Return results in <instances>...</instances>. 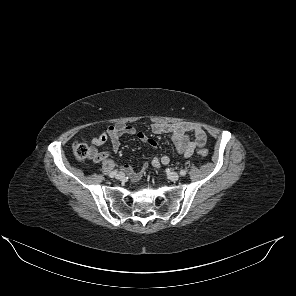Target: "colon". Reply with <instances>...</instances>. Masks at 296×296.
<instances>
[{"label":"colon","instance_id":"obj_1","mask_svg":"<svg viewBox=\"0 0 296 296\" xmlns=\"http://www.w3.org/2000/svg\"><path fill=\"white\" fill-rule=\"evenodd\" d=\"M73 154L78 160H87L93 158L95 155V151H93L87 144L82 142H76L72 146ZM198 154L201 157L208 156L209 152L205 148H201L198 150Z\"/></svg>","mask_w":296,"mask_h":296}]
</instances>
